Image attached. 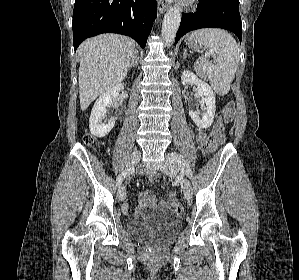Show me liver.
Instances as JSON below:
<instances>
[{"label":"liver","mask_w":299,"mask_h":280,"mask_svg":"<svg viewBox=\"0 0 299 280\" xmlns=\"http://www.w3.org/2000/svg\"><path fill=\"white\" fill-rule=\"evenodd\" d=\"M134 52L133 42L117 34L98 35L80 45L79 99L82 111L126 77Z\"/></svg>","instance_id":"1"}]
</instances>
